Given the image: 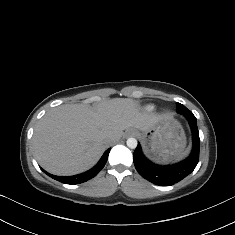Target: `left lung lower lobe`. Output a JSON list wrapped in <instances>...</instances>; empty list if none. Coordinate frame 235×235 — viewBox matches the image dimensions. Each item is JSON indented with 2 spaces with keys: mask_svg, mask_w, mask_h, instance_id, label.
Wrapping results in <instances>:
<instances>
[{
  "mask_svg": "<svg viewBox=\"0 0 235 235\" xmlns=\"http://www.w3.org/2000/svg\"><path fill=\"white\" fill-rule=\"evenodd\" d=\"M184 116L189 121L193 138V149L187 159L173 165L160 166L152 163L143 155L139 143L134 151L133 161L136 170L143 178L153 184L172 185L177 183L192 173L199 161L200 138L196 117L193 114Z\"/></svg>",
  "mask_w": 235,
  "mask_h": 235,
  "instance_id": "obj_1",
  "label": "left lung lower lobe"
}]
</instances>
